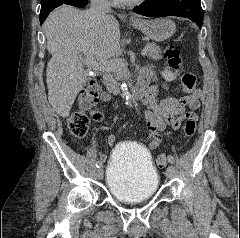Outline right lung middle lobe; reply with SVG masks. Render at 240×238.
<instances>
[{"mask_svg": "<svg viewBox=\"0 0 240 238\" xmlns=\"http://www.w3.org/2000/svg\"><path fill=\"white\" fill-rule=\"evenodd\" d=\"M70 1L71 0H41L40 18L48 15L54 8L62 4H69Z\"/></svg>", "mask_w": 240, "mask_h": 238, "instance_id": "dd1d6c3e", "label": "right lung middle lobe"}]
</instances>
